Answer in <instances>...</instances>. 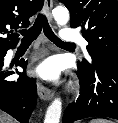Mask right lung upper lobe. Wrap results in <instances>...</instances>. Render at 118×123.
<instances>
[{
	"instance_id": "1",
	"label": "right lung upper lobe",
	"mask_w": 118,
	"mask_h": 123,
	"mask_svg": "<svg viewBox=\"0 0 118 123\" xmlns=\"http://www.w3.org/2000/svg\"><path fill=\"white\" fill-rule=\"evenodd\" d=\"M44 0H0V51L14 48L18 34L14 30L29 26V18L41 10Z\"/></svg>"
}]
</instances>
